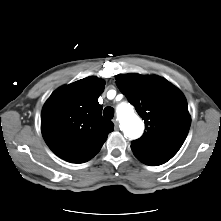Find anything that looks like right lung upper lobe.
<instances>
[{
    "label": "right lung upper lobe",
    "mask_w": 221,
    "mask_h": 221,
    "mask_svg": "<svg viewBox=\"0 0 221 221\" xmlns=\"http://www.w3.org/2000/svg\"><path fill=\"white\" fill-rule=\"evenodd\" d=\"M104 81L88 77L58 88L48 98L41 113V131L49 148L71 163L94 157L113 131L105 119L98 98Z\"/></svg>",
    "instance_id": "cb5924a9"
}]
</instances>
